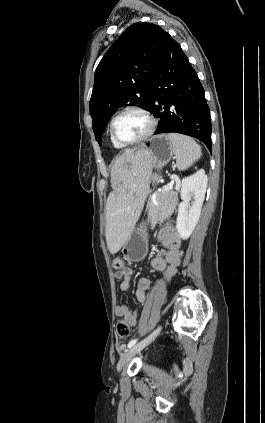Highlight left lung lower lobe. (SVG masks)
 <instances>
[{"label": "left lung lower lobe", "mask_w": 265, "mask_h": 423, "mask_svg": "<svg viewBox=\"0 0 265 423\" xmlns=\"http://www.w3.org/2000/svg\"><path fill=\"white\" fill-rule=\"evenodd\" d=\"M150 97L148 111L160 118L155 134L182 133L199 139L212 151L204 89L187 56L169 34L153 74Z\"/></svg>", "instance_id": "1"}]
</instances>
